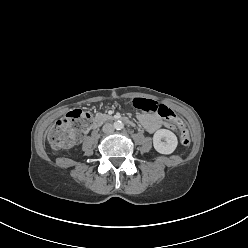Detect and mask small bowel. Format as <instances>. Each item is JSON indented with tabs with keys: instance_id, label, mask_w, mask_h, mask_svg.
<instances>
[{
	"instance_id": "obj_1",
	"label": "small bowel",
	"mask_w": 248,
	"mask_h": 248,
	"mask_svg": "<svg viewBox=\"0 0 248 248\" xmlns=\"http://www.w3.org/2000/svg\"><path fill=\"white\" fill-rule=\"evenodd\" d=\"M138 120L142 126L150 133L160 129L162 126L173 129L175 125L172 122H165L156 113H138Z\"/></svg>"
}]
</instances>
